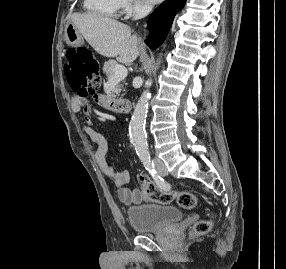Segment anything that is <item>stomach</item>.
<instances>
[{"instance_id":"stomach-1","label":"stomach","mask_w":286,"mask_h":269,"mask_svg":"<svg viewBox=\"0 0 286 269\" xmlns=\"http://www.w3.org/2000/svg\"><path fill=\"white\" fill-rule=\"evenodd\" d=\"M64 40L67 45L77 47L82 45L83 36L79 30L70 22L65 27Z\"/></svg>"}]
</instances>
